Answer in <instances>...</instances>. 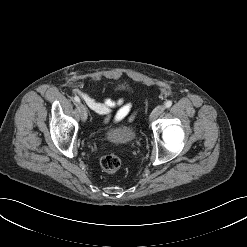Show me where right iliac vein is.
I'll return each instance as SVG.
<instances>
[{"label":"right iliac vein","mask_w":247,"mask_h":247,"mask_svg":"<svg viewBox=\"0 0 247 247\" xmlns=\"http://www.w3.org/2000/svg\"><path fill=\"white\" fill-rule=\"evenodd\" d=\"M78 109H79V112H80V115H81V119L83 121H85L87 119V109H86V107L82 103H79L78 104Z\"/></svg>","instance_id":"obj_1"}]
</instances>
